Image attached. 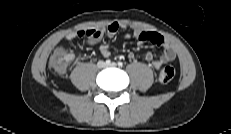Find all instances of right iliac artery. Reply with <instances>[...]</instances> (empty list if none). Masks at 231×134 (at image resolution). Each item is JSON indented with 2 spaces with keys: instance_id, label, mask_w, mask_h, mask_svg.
<instances>
[{
  "instance_id": "1",
  "label": "right iliac artery",
  "mask_w": 231,
  "mask_h": 134,
  "mask_svg": "<svg viewBox=\"0 0 231 134\" xmlns=\"http://www.w3.org/2000/svg\"><path fill=\"white\" fill-rule=\"evenodd\" d=\"M107 65H110L111 64V61L108 59V60H106V62H105Z\"/></svg>"
}]
</instances>
